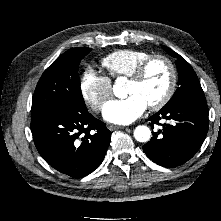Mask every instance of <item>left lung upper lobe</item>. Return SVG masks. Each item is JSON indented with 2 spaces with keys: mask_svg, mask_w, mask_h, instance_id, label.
<instances>
[{
  "mask_svg": "<svg viewBox=\"0 0 221 221\" xmlns=\"http://www.w3.org/2000/svg\"><path fill=\"white\" fill-rule=\"evenodd\" d=\"M162 48L177 59L175 63L178 70L179 85L173 97L162 109L172 108L185 102H206L198 77L190 64L171 49L165 46H162Z\"/></svg>",
  "mask_w": 221,
  "mask_h": 221,
  "instance_id": "5c2ea615",
  "label": "left lung upper lobe"
}]
</instances>
